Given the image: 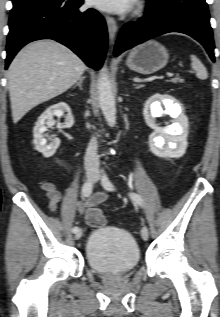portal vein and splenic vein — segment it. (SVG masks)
<instances>
[{
    "instance_id": "portal-vein-and-splenic-vein-1",
    "label": "portal vein and splenic vein",
    "mask_w": 220,
    "mask_h": 317,
    "mask_svg": "<svg viewBox=\"0 0 220 317\" xmlns=\"http://www.w3.org/2000/svg\"><path fill=\"white\" fill-rule=\"evenodd\" d=\"M168 77H173V73H167Z\"/></svg>"
}]
</instances>
